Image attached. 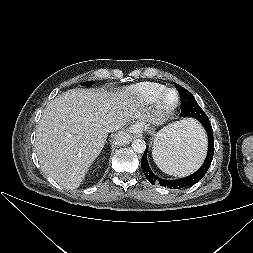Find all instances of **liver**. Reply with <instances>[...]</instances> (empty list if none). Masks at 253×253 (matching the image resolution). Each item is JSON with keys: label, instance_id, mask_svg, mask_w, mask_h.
<instances>
[{"label": "liver", "instance_id": "1", "mask_svg": "<svg viewBox=\"0 0 253 253\" xmlns=\"http://www.w3.org/2000/svg\"><path fill=\"white\" fill-rule=\"evenodd\" d=\"M139 108L126 91L71 89L58 95L43 110L36 132L42 170L62 187L78 188L101 153L108 128L143 118Z\"/></svg>", "mask_w": 253, "mask_h": 253}]
</instances>
